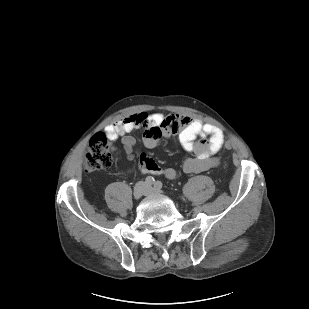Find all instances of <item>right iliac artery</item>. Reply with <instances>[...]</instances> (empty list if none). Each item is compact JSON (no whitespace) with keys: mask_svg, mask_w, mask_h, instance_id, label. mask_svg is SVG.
I'll return each instance as SVG.
<instances>
[{"mask_svg":"<svg viewBox=\"0 0 309 309\" xmlns=\"http://www.w3.org/2000/svg\"><path fill=\"white\" fill-rule=\"evenodd\" d=\"M154 178L153 177H151V176H148L147 178H146V180H145V182H146V184L147 185H152L153 183H154Z\"/></svg>","mask_w":309,"mask_h":309,"instance_id":"obj_1","label":"right iliac artery"}]
</instances>
